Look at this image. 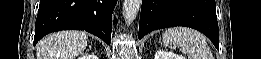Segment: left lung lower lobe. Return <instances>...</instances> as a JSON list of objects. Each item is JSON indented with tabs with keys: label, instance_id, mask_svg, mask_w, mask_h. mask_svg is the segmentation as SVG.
<instances>
[{
	"label": "left lung lower lobe",
	"instance_id": "0a47b994",
	"mask_svg": "<svg viewBox=\"0 0 261 59\" xmlns=\"http://www.w3.org/2000/svg\"><path fill=\"white\" fill-rule=\"evenodd\" d=\"M174 26L202 32L218 49L215 0H142L139 39L153 30Z\"/></svg>",
	"mask_w": 261,
	"mask_h": 59
}]
</instances>
